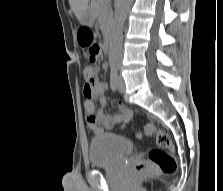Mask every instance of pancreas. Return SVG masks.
Returning a JSON list of instances; mask_svg holds the SVG:
<instances>
[{"label":"pancreas","instance_id":"1","mask_svg":"<svg viewBox=\"0 0 223 191\" xmlns=\"http://www.w3.org/2000/svg\"><path fill=\"white\" fill-rule=\"evenodd\" d=\"M90 7L98 17L111 16L110 0H92Z\"/></svg>","mask_w":223,"mask_h":191}]
</instances>
